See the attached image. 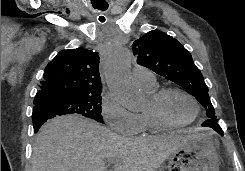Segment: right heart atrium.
Segmentation results:
<instances>
[{"mask_svg":"<svg viewBox=\"0 0 245 171\" xmlns=\"http://www.w3.org/2000/svg\"><path fill=\"white\" fill-rule=\"evenodd\" d=\"M101 111L103 119L114 132L126 136L139 133L141 125L138 114L127 110L112 96L104 98Z\"/></svg>","mask_w":245,"mask_h":171,"instance_id":"obj_1","label":"right heart atrium"}]
</instances>
